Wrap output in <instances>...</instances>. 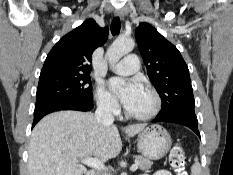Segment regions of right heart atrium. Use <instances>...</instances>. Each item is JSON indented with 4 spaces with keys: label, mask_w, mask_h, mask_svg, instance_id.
Masks as SVG:
<instances>
[{
    "label": "right heart atrium",
    "mask_w": 233,
    "mask_h": 175,
    "mask_svg": "<svg viewBox=\"0 0 233 175\" xmlns=\"http://www.w3.org/2000/svg\"><path fill=\"white\" fill-rule=\"evenodd\" d=\"M95 99L97 106L108 114H116L119 110V104L116 97L108 91L102 84H98L95 90Z\"/></svg>",
    "instance_id": "obj_1"
}]
</instances>
